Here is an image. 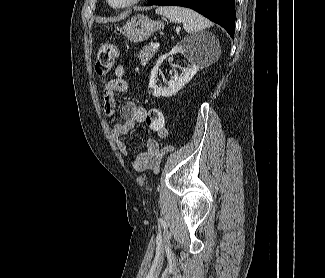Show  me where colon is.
<instances>
[{
	"instance_id": "1",
	"label": "colon",
	"mask_w": 325,
	"mask_h": 278,
	"mask_svg": "<svg viewBox=\"0 0 325 278\" xmlns=\"http://www.w3.org/2000/svg\"><path fill=\"white\" fill-rule=\"evenodd\" d=\"M119 56L118 49L113 44H103L97 54L95 62V71L98 75H106L112 68L114 62ZM145 122L149 128L154 131L162 132L165 129V117L163 112L158 108L148 110Z\"/></svg>"
}]
</instances>
